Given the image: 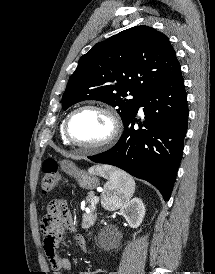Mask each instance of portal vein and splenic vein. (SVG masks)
Wrapping results in <instances>:
<instances>
[{
	"label": "portal vein and splenic vein",
	"mask_w": 215,
	"mask_h": 274,
	"mask_svg": "<svg viewBox=\"0 0 215 274\" xmlns=\"http://www.w3.org/2000/svg\"><path fill=\"white\" fill-rule=\"evenodd\" d=\"M93 201H94L95 203H97V202L99 201V198L96 197V196H94V197H93Z\"/></svg>",
	"instance_id": "portal-vein-and-splenic-vein-1"
}]
</instances>
